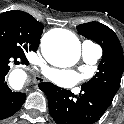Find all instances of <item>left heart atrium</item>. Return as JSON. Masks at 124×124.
<instances>
[{"instance_id":"left-heart-atrium-1","label":"left heart atrium","mask_w":124,"mask_h":124,"mask_svg":"<svg viewBox=\"0 0 124 124\" xmlns=\"http://www.w3.org/2000/svg\"><path fill=\"white\" fill-rule=\"evenodd\" d=\"M46 76L51 82L63 88H70L82 80V76L71 69H48Z\"/></svg>"}]
</instances>
